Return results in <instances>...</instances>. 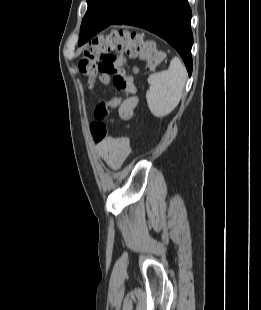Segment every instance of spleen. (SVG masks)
<instances>
[{
	"label": "spleen",
	"mask_w": 261,
	"mask_h": 310,
	"mask_svg": "<svg viewBox=\"0 0 261 310\" xmlns=\"http://www.w3.org/2000/svg\"><path fill=\"white\" fill-rule=\"evenodd\" d=\"M187 79V70L178 57H174L168 70L148 77L150 89L146 100L151 113L158 118L169 115L179 104Z\"/></svg>",
	"instance_id": "3e777b00"
}]
</instances>
